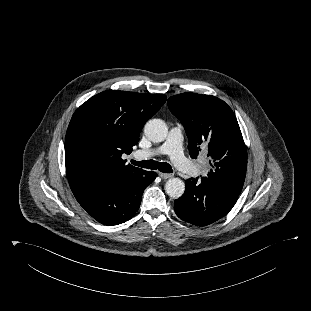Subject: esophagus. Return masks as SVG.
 <instances>
[{"instance_id": "esophagus-1", "label": "esophagus", "mask_w": 311, "mask_h": 311, "mask_svg": "<svg viewBox=\"0 0 311 311\" xmlns=\"http://www.w3.org/2000/svg\"><path fill=\"white\" fill-rule=\"evenodd\" d=\"M158 174H159V176H160L162 179H169V178L173 177L172 174H168V173L159 172Z\"/></svg>"}]
</instances>
